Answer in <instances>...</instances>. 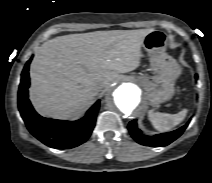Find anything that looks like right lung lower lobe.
Masks as SVG:
<instances>
[{
    "label": "right lung lower lobe",
    "mask_w": 212,
    "mask_h": 183,
    "mask_svg": "<svg viewBox=\"0 0 212 183\" xmlns=\"http://www.w3.org/2000/svg\"><path fill=\"white\" fill-rule=\"evenodd\" d=\"M26 63L18 92V107L21 116L33 136L51 148L68 149L84 143L92 133L100 105L98 100L80 120L69 122L41 117L28 99L29 64Z\"/></svg>",
    "instance_id": "right-lung-lower-lobe-1"
}]
</instances>
